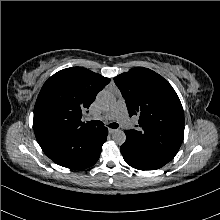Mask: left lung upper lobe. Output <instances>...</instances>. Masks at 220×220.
<instances>
[{
	"instance_id": "1",
	"label": "left lung upper lobe",
	"mask_w": 220,
	"mask_h": 220,
	"mask_svg": "<svg viewBox=\"0 0 220 220\" xmlns=\"http://www.w3.org/2000/svg\"><path fill=\"white\" fill-rule=\"evenodd\" d=\"M129 111L139 118L133 140L174 157L184 137V112L173 87L156 72L137 67L114 78Z\"/></svg>"
}]
</instances>
